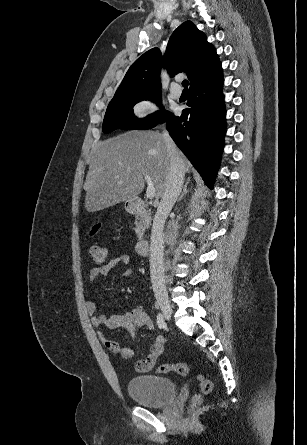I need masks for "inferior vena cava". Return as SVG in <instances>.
Masks as SVG:
<instances>
[{
    "label": "inferior vena cava",
    "mask_w": 307,
    "mask_h": 445,
    "mask_svg": "<svg viewBox=\"0 0 307 445\" xmlns=\"http://www.w3.org/2000/svg\"><path fill=\"white\" fill-rule=\"evenodd\" d=\"M163 136L170 156V166L161 202L153 220L149 259L151 283L158 304L168 303L163 259L165 220L182 190L186 172L184 160L169 132L164 130Z\"/></svg>",
    "instance_id": "obj_1"
}]
</instances>
